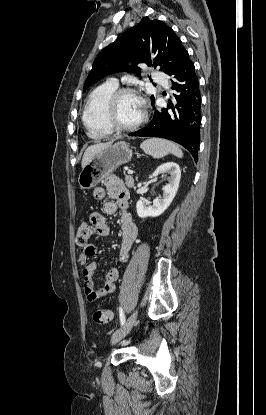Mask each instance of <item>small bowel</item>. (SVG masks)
<instances>
[{
    "instance_id": "c3829d8e",
    "label": "small bowel",
    "mask_w": 266,
    "mask_h": 415,
    "mask_svg": "<svg viewBox=\"0 0 266 415\" xmlns=\"http://www.w3.org/2000/svg\"><path fill=\"white\" fill-rule=\"evenodd\" d=\"M110 196L114 201H108L103 204V212L106 215H115L119 213L122 244L119 252L121 262H126L129 257V251L137 238L138 229L133 222L130 213L127 211L129 192L123 181L115 176H109L105 180L104 186L97 187L93 196L97 200H102L106 196ZM90 222L99 236H107L110 233L105 216L100 212H93L90 215ZM97 253V246L88 244L84 246L83 251L78 256V263L84 266L82 270L84 292L86 299L93 302L99 298L114 292L115 283L120 277V271L117 268H110L104 276V284L100 288L94 287L93 276L97 269L95 262L87 263V260Z\"/></svg>"
}]
</instances>
